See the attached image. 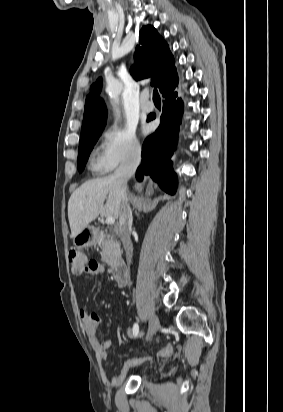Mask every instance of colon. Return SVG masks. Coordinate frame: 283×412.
Returning <instances> with one entry per match:
<instances>
[{
  "mask_svg": "<svg viewBox=\"0 0 283 412\" xmlns=\"http://www.w3.org/2000/svg\"><path fill=\"white\" fill-rule=\"evenodd\" d=\"M68 261L71 271L75 275L91 273L96 271L98 268V262L96 260H88L84 254L74 250L69 252Z\"/></svg>",
  "mask_w": 283,
  "mask_h": 412,
  "instance_id": "1",
  "label": "colon"
}]
</instances>
